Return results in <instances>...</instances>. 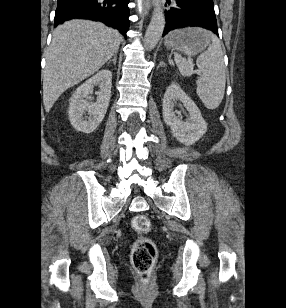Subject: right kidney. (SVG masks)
<instances>
[{
    "instance_id": "1",
    "label": "right kidney",
    "mask_w": 286,
    "mask_h": 308,
    "mask_svg": "<svg viewBox=\"0 0 286 308\" xmlns=\"http://www.w3.org/2000/svg\"><path fill=\"white\" fill-rule=\"evenodd\" d=\"M98 86L97 101L89 104L86 98L93 93V88ZM112 73L101 70L76 89L70 98L68 115L72 126L83 133L93 132L102 122L107 112L111 96ZM89 116H85V112Z\"/></svg>"
}]
</instances>
